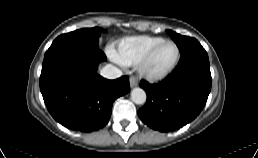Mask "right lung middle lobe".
Masks as SVG:
<instances>
[{"mask_svg": "<svg viewBox=\"0 0 258 158\" xmlns=\"http://www.w3.org/2000/svg\"><path fill=\"white\" fill-rule=\"evenodd\" d=\"M101 30L98 27L91 29H80L67 34L58 36L50 47H56L59 45L77 44L88 45L93 47L99 46V36Z\"/></svg>", "mask_w": 258, "mask_h": 158, "instance_id": "right-lung-middle-lobe-1", "label": "right lung middle lobe"}]
</instances>
